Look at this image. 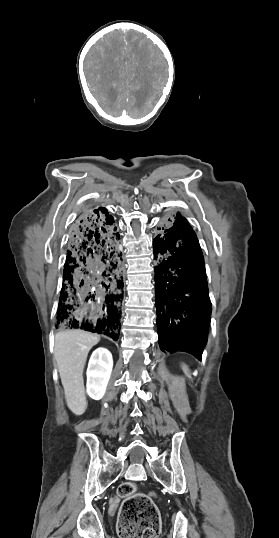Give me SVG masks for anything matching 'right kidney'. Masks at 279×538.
Masks as SVG:
<instances>
[{
    "instance_id": "right-kidney-1",
    "label": "right kidney",
    "mask_w": 279,
    "mask_h": 538,
    "mask_svg": "<svg viewBox=\"0 0 279 538\" xmlns=\"http://www.w3.org/2000/svg\"><path fill=\"white\" fill-rule=\"evenodd\" d=\"M113 368L112 354L106 348L94 350L88 364L87 394L92 400L103 398Z\"/></svg>"
}]
</instances>
